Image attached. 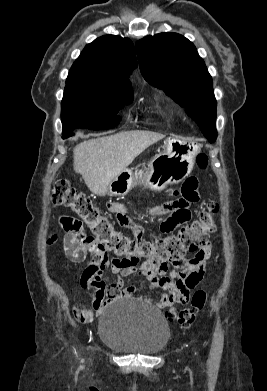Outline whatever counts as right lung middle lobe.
Returning a JSON list of instances; mask_svg holds the SVG:
<instances>
[{
	"mask_svg": "<svg viewBox=\"0 0 267 391\" xmlns=\"http://www.w3.org/2000/svg\"><path fill=\"white\" fill-rule=\"evenodd\" d=\"M133 100V92L110 89L92 80L66 81L61 104L63 138L75 128L109 129L119 123L117 113Z\"/></svg>",
	"mask_w": 267,
	"mask_h": 391,
	"instance_id": "1",
	"label": "right lung middle lobe"
}]
</instances>
